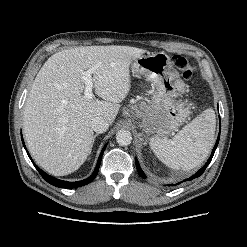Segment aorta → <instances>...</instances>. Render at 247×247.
<instances>
[{
  "label": "aorta",
  "instance_id": "762f6f07",
  "mask_svg": "<svg viewBox=\"0 0 247 247\" xmlns=\"http://www.w3.org/2000/svg\"><path fill=\"white\" fill-rule=\"evenodd\" d=\"M116 141L120 146H128L132 141V134L128 130H119L116 134Z\"/></svg>",
  "mask_w": 247,
  "mask_h": 247
}]
</instances>
